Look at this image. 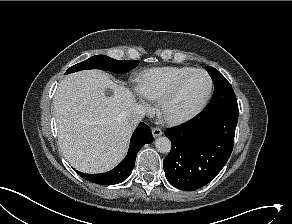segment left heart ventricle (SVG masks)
Listing matches in <instances>:
<instances>
[{"instance_id":"obj_1","label":"left heart ventricle","mask_w":292,"mask_h":224,"mask_svg":"<svg viewBox=\"0 0 292 224\" xmlns=\"http://www.w3.org/2000/svg\"><path fill=\"white\" fill-rule=\"evenodd\" d=\"M209 79L203 73L190 77L176 98L170 103L167 113L171 116H181L192 111L206 96Z\"/></svg>"}]
</instances>
